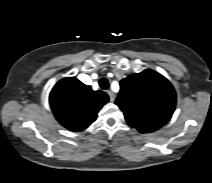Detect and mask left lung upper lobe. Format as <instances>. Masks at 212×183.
I'll use <instances>...</instances> for the list:
<instances>
[{"instance_id":"obj_1","label":"left lung upper lobe","mask_w":212,"mask_h":183,"mask_svg":"<svg viewBox=\"0 0 212 183\" xmlns=\"http://www.w3.org/2000/svg\"><path fill=\"white\" fill-rule=\"evenodd\" d=\"M120 87L115 103L128 124L139 132H153L171 118L176 104L175 90L159 73L146 69L121 80Z\"/></svg>"}]
</instances>
